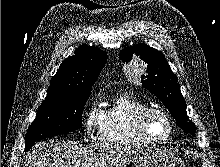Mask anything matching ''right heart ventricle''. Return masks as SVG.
<instances>
[{"label":"right heart ventricle","instance_id":"1","mask_svg":"<svg viewBox=\"0 0 220 167\" xmlns=\"http://www.w3.org/2000/svg\"><path fill=\"white\" fill-rule=\"evenodd\" d=\"M148 105L127 92L119 93L103 111L100 141L110 145H141L135 129L137 114Z\"/></svg>","mask_w":220,"mask_h":167}]
</instances>
